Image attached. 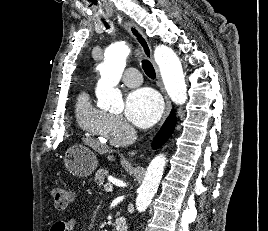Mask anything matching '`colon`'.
Wrapping results in <instances>:
<instances>
[{"mask_svg":"<svg viewBox=\"0 0 268 231\" xmlns=\"http://www.w3.org/2000/svg\"><path fill=\"white\" fill-rule=\"evenodd\" d=\"M52 197L56 206L59 209H65L70 202V194L69 192L62 187H53L51 190Z\"/></svg>","mask_w":268,"mask_h":231,"instance_id":"obj_1","label":"colon"}]
</instances>
